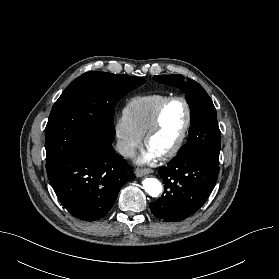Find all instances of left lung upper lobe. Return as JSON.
<instances>
[{
    "instance_id": "1",
    "label": "left lung upper lobe",
    "mask_w": 279,
    "mask_h": 279,
    "mask_svg": "<svg viewBox=\"0 0 279 279\" xmlns=\"http://www.w3.org/2000/svg\"><path fill=\"white\" fill-rule=\"evenodd\" d=\"M153 79L170 86L184 87L191 109V124L188 142L180 148L178 154L195 153L219 162L221 132L215 107L206 91L192 79L184 81L182 75H159Z\"/></svg>"
}]
</instances>
